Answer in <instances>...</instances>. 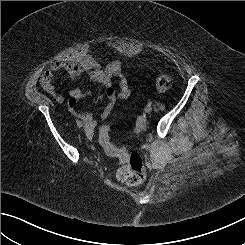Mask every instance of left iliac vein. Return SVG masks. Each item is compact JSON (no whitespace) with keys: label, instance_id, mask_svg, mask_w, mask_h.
Listing matches in <instances>:
<instances>
[{"label":"left iliac vein","instance_id":"4c4485c4","mask_svg":"<svg viewBox=\"0 0 245 245\" xmlns=\"http://www.w3.org/2000/svg\"><path fill=\"white\" fill-rule=\"evenodd\" d=\"M144 111L146 113H150V112H152V107L151 106H146L145 109H144Z\"/></svg>","mask_w":245,"mask_h":245}]
</instances>
